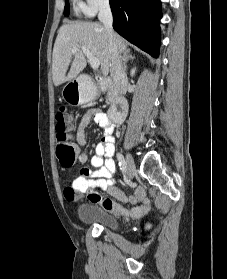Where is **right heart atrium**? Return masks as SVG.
Returning <instances> with one entry per match:
<instances>
[{"label": "right heart atrium", "mask_w": 227, "mask_h": 279, "mask_svg": "<svg viewBox=\"0 0 227 279\" xmlns=\"http://www.w3.org/2000/svg\"><path fill=\"white\" fill-rule=\"evenodd\" d=\"M77 7L88 16L95 15L108 5L109 0H77Z\"/></svg>", "instance_id": "d8ad5b80"}]
</instances>
